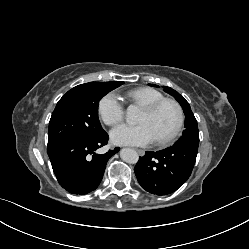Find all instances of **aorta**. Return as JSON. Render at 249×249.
I'll return each mask as SVG.
<instances>
[{
    "mask_svg": "<svg viewBox=\"0 0 249 249\" xmlns=\"http://www.w3.org/2000/svg\"><path fill=\"white\" fill-rule=\"evenodd\" d=\"M136 114V109L134 106H129L126 112V116L128 119L134 118ZM120 157L121 159L129 164H136L139 159L138 153L131 148H124L120 151Z\"/></svg>",
    "mask_w": 249,
    "mask_h": 249,
    "instance_id": "aorta-1",
    "label": "aorta"
}]
</instances>
